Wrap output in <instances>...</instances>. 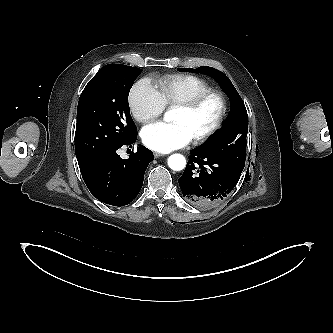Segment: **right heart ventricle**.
<instances>
[{"mask_svg": "<svg viewBox=\"0 0 333 333\" xmlns=\"http://www.w3.org/2000/svg\"><path fill=\"white\" fill-rule=\"evenodd\" d=\"M209 90L210 84L194 75H170L158 82V92L168 107H176Z\"/></svg>", "mask_w": 333, "mask_h": 333, "instance_id": "obj_1", "label": "right heart ventricle"}]
</instances>
